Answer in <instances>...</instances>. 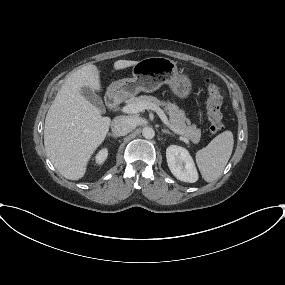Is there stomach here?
<instances>
[{
    "label": "stomach",
    "instance_id": "obj_1",
    "mask_svg": "<svg viewBox=\"0 0 285 285\" xmlns=\"http://www.w3.org/2000/svg\"><path fill=\"white\" fill-rule=\"evenodd\" d=\"M132 78L113 82L108 92L112 96H133L143 92H153L161 85H169L179 98L187 97L192 89L191 80L178 71L177 64L166 57H148L138 61L132 69Z\"/></svg>",
    "mask_w": 285,
    "mask_h": 285
}]
</instances>
